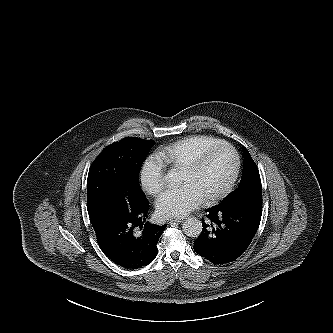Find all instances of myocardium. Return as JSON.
I'll return each instance as SVG.
<instances>
[{
    "mask_svg": "<svg viewBox=\"0 0 333 333\" xmlns=\"http://www.w3.org/2000/svg\"><path fill=\"white\" fill-rule=\"evenodd\" d=\"M227 147L231 149L235 156V168L234 171L228 180V182L225 184V186L220 189L218 192H216L213 195H210L204 199V202L206 204H212L215 203L223 198H225L233 189L234 185L236 184V181L239 177L240 170H241V157L237 149L229 142L227 141H221L215 145H212L202 152H200L191 162H189L187 165H185L182 169L181 172L185 173H195L198 171L206 162L208 157L214 153L216 150Z\"/></svg>",
    "mask_w": 333,
    "mask_h": 333,
    "instance_id": "1",
    "label": "myocardium"
}]
</instances>
